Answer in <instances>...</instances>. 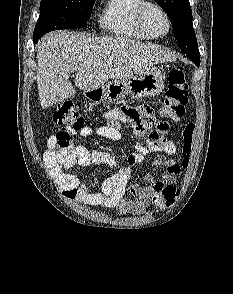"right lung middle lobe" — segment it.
Masks as SVG:
<instances>
[{
	"label": "right lung middle lobe",
	"instance_id": "dd1d6c3e",
	"mask_svg": "<svg viewBox=\"0 0 233 294\" xmlns=\"http://www.w3.org/2000/svg\"><path fill=\"white\" fill-rule=\"evenodd\" d=\"M95 0H41L34 39L57 29L87 25Z\"/></svg>",
	"mask_w": 233,
	"mask_h": 294
}]
</instances>
